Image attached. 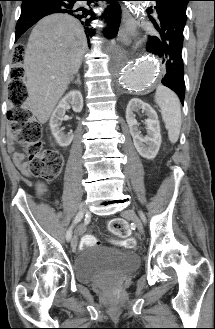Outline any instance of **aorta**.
<instances>
[{
  "label": "aorta",
  "mask_w": 215,
  "mask_h": 329,
  "mask_svg": "<svg viewBox=\"0 0 215 329\" xmlns=\"http://www.w3.org/2000/svg\"><path fill=\"white\" fill-rule=\"evenodd\" d=\"M131 8L140 7V2H129ZM158 65L155 60L141 59L128 62L122 59L118 64V74L123 86L130 91H144L148 89L158 76Z\"/></svg>",
  "instance_id": "obj_1"
}]
</instances>
